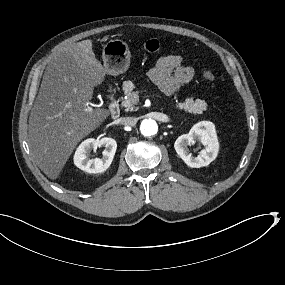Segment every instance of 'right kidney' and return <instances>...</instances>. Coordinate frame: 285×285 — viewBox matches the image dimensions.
Returning <instances> with one entry per match:
<instances>
[{"label": "right kidney", "mask_w": 285, "mask_h": 285, "mask_svg": "<svg viewBox=\"0 0 285 285\" xmlns=\"http://www.w3.org/2000/svg\"><path fill=\"white\" fill-rule=\"evenodd\" d=\"M105 147L103 157L89 158L91 149L96 147ZM117 149V143L113 138L104 137L100 140L89 138L84 140L76 149L74 154V164L81 170L88 173H102L106 171L114 158Z\"/></svg>", "instance_id": "ca27d5eb"}]
</instances>
